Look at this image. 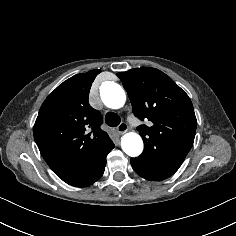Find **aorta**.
<instances>
[{
    "instance_id": "1",
    "label": "aorta",
    "mask_w": 236,
    "mask_h": 236,
    "mask_svg": "<svg viewBox=\"0 0 236 236\" xmlns=\"http://www.w3.org/2000/svg\"><path fill=\"white\" fill-rule=\"evenodd\" d=\"M102 102L109 108L119 109L124 106L126 94L123 88L111 81L102 85L100 90ZM122 150L130 157H137L143 151V141L139 134L134 132L126 133L121 140Z\"/></svg>"
}]
</instances>
